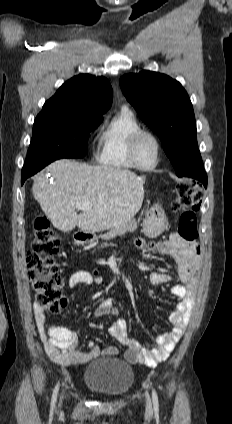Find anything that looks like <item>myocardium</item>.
Segmentation results:
<instances>
[{"mask_svg":"<svg viewBox=\"0 0 232 424\" xmlns=\"http://www.w3.org/2000/svg\"><path fill=\"white\" fill-rule=\"evenodd\" d=\"M144 136L151 137L156 144V157H155L154 162L149 166L141 165L138 162V160L136 158V153H135L138 141ZM128 153H129V158H130V160H131V162H132V164L134 165L135 168L140 169V170H151V169L155 168L159 163L160 156H161V142H160L158 136L155 133H153L149 130L141 129V130L137 131L135 134H133V136L131 137L130 142H129V147H128Z\"/></svg>","mask_w":232,"mask_h":424,"instance_id":"f54148a6","label":"myocardium"}]
</instances>
